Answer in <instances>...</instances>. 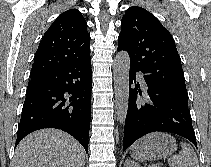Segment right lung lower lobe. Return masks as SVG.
<instances>
[{
  "mask_svg": "<svg viewBox=\"0 0 211 167\" xmlns=\"http://www.w3.org/2000/svg\"><path fill=\"white\" fill-rule=\"evenodd\" d=\"M92 70L90 58L35 77L28 83L16 145L29 133L61 129L88 152Z\"/></svg>",
  "mask_w": 211,
  "mask_h": 167,
  "instance_id": "1",
  "label": "right lung lower lobe"
}]
</instances>
